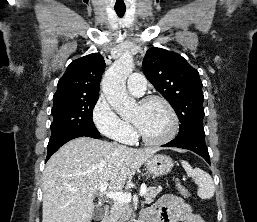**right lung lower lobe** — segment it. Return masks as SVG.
<instances>
[{
  "label": "right lung lower lobe",
  "instance_id": "1",
  "mask_svg": "<svg viewBox=\"0 0 257 222\" xmlns=\"http://www.w3.org/2000/svg\"><path fill=\"white\" fill-rule=\"evenodd\" d=\"M82 136L92 137V138H96V139L101 138L100 135L73 133V134L62 136V137H60V138H58V139H56L54 141H49L48 146H47V158H46V161L51 157V155L53 153H55L66 142H68V141H70V140H72L74 138L82 137Z\"/></svg>",
  "mask_w": 257,
  "mask_h": 222
}]
</instances>
